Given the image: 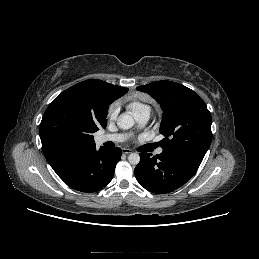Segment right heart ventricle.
<instances>
[{
  "instance_id": "obj_1",
  "label": "right heart ventricle",
  "mask_w": 259,
  "mask_h": 259,
  "mask_svg": "<svg viewBox=\"0 0 259 259\" xmlns=\"http://www.w3.org/2000/svg\"><path fill=\"white\" fill-rule=\"evenodd\" d=\"M129 109L134 114L142 109H149V107L143 103L140 102H132L129 104Z\"/></svg>"
}]
</instances>
